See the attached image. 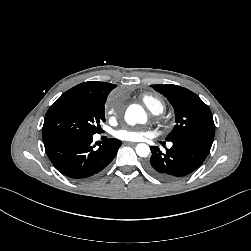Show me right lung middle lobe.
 Wrapping results in <instances>:
<instances>
[{"instance_id":"right-lung-middle-lobe-1","label":"right lung middle lobe","mask_w":251,"mask_h":251,"mask_svg":"<svg viewBox=\"0 0 251 251\" xmlns=\"http://www.w3.org/2000/svg\"><path fill=\"white\" fill-rule=\"evenodd\" d=\"M106 98L65 92L49 108L42 129L43 140L56 137L93 136L105 122Z\"/></svg>"}]
</instances>
